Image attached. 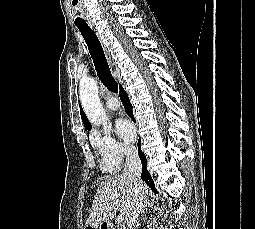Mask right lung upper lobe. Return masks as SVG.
I'll use <instances>...</instances> for the list:
<instances>
[{
	"instance_id": "cb5924a9",
	"label": "right lung upper lobe",
	"mask_w": 255,
	"mask_h": 229,
	"mask_svg": "<svg viewBox=\"0 0 255 229\" xmlns=\"http://www.w3.org/2000/svg\"><path fill=\"white\" fill-rule=\"evenodd\" d=\"M80 114H81V119H82V122L84 124V127L86 130H90L92 128V125L91 123L88 121L85 113L83 112V110L81 109L80 110Z\"/></svg>"
}]
</instances>
